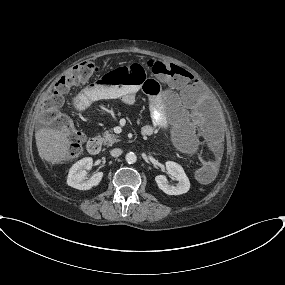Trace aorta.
Listing matches in <instances>:
<instances>
[{
  "label": "aorta",
  "instance_id": "obj_1",
  "mask_svg": "<svg viewBox=\"0 0 285 285\" xmlns=\"http://www.w3.org/2000/svg\"><path fill=\"white\" fill-rule=\"evenodd\" d=\"M125 159H126L127 163L133 164L136 162L137 157H136V154L134 152H129L126 154Z\"/></svg>",
  "mask_w": 285,
  "mask_h": 285
}]
</instances>
